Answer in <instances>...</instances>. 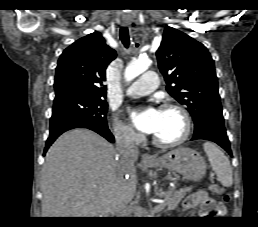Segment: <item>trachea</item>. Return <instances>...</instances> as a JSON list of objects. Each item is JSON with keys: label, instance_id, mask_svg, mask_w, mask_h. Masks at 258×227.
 <instances>
[{"label": "trachea", "instance_id": "3493384b", "mask_svg": "<svg viewBox=\"0 0 258 227\" xmlns=\"http://www.w3.org/2000/svg\"><path fill=\"white\" fill-rule=\"evenodd\" d=\"M120 39L123 43V45L128 48L130 44V39H129V31L127 27H121L120 28Z\"/></svg>", "mask_w": 258, "mask_h": 227}]
</instances>
